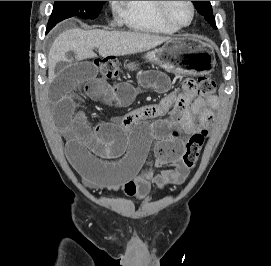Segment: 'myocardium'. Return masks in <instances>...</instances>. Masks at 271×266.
<instances>
[{"label":"myocardium","instance_id":"myocardium-1","mask_svg":"<svg viewBox=\"0 0 271 266\" xmlns=\"http://www.w3.org/2000/svg\"><path fill=\"white\" fill-rule=\"evenodd\" d=\"M187 3L189 4L190 8H191V18L190 21L187 24H178L176 21L173 20V18L170 16L169 12H168V4L169 1H159V10H160V14L161 16L174 28L176 29H184L189 27L194 19H195V15H196V7L193 1H187Z\"/></svg>","mask_w":271,"mask_h":266}]
</instances>
